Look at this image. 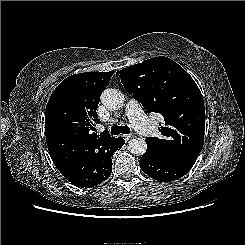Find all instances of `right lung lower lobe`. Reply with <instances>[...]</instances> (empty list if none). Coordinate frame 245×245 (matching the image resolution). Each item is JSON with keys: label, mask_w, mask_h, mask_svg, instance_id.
<instances>
[{"label": "right lung lower lobe", "mask_w": 245, "mask_h": 245, "mask_svg": "<svg viewBox=\"0 0 245 245\" xmlns=\"http://www.w3.org/2000/svg\"><path fill=\"white\" fill-rule=\"evenodd\" d=\"M125 141L122 137L114 138L108 143L96 146L89 157L87 168L92 175L83 179L79 171L69 165L56 166L62 175L73 185L81 188H90L105 181L111 174L112 155L121 149Z\"/></svg>", "instance_id": "98d812e1"}]
</instances>
